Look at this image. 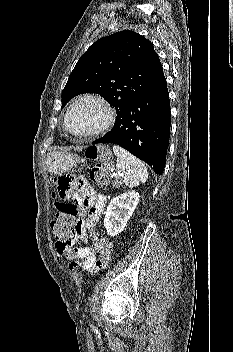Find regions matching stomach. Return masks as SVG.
Listing matches in <instances>:
<instances>
[{"label":"stomach","mask_w":233,"mask_h":352,"mask_svg":"<svg viewBox=\"0 0 233 352\" xmlns=\"http://www.w3.org/2000/svg\"><path fill=\"white\" fill-rule=\"evenodd\" d=\"M80 161L77 155L65 152L53 151L47 156V168L52 173H64Z\"/></svg>","instance_id":"0dacf381"}]
</instances>
